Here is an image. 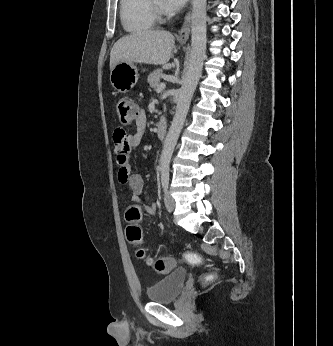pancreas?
I'll return each mask as SVG.
<instances>
[{
	"label": "pancreas",
	"mask_w": 333,
	"mask_h": 346,
	"mask_svg": "<svg viewBox=\"0 0 333 346\" xmlns=\"http://www.w3.org/2000/svg\"><path fill=\"white\" fill-rule=\"evenodd\" d=\"M163 77V73L161 69H156L152 73L149 74L147 82L149 85L156 89L158 85L160 84V80Z\"/></svg>",
	"instance_id": "pancreas-1"
}]
</instances>
